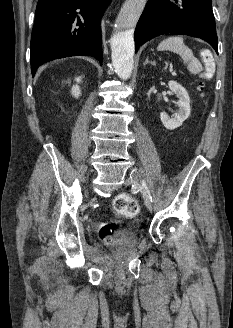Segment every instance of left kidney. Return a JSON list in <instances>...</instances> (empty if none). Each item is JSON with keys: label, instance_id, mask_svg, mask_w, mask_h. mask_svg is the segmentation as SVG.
<instances>
[{"label": "left kidney", "instance_id": "5707ae66", "mask_svg": "<svg viewBox=\"0 0 233 328\" xmlns=\"http://www.w3.org/2000/svg\"><path fill=\"white\" fill-rule=\"evenodd\" d=\"M168 86L178 98L177 104L179 108L171 118L168 117L165 112H161L160 119L166 129L174 130L180 127L182 123L190 116V98L185 88L176 81H169Z\"/></svg>", "mask_w": 233, "mask_h": 328}]
</instances>
